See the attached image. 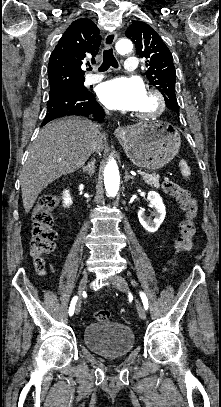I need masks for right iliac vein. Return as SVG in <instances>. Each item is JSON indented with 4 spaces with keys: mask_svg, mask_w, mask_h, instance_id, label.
I'll list each match as a JSON object with an SVG mask.
<instances>
[{
    "mask_svg": "<svg viewBox=\"0 0 221 407\" xmlns=\"http://www.w3.org/2000/svg\"><path fill=\"white\" fill-rule=\"evenodd\" d=\"M87 282H88V273H85L79 283V287H78V294H79V298L77 301V305H76V313L78 314L81 310V295L85 292L86 290V286H87Z\"/></svg>",
    "mask_w": 221,
    "mask_h": 407,
    "instance_id": "right-iliac-vein-1",
    "label": "right iliac vein"
}]
</instances>
